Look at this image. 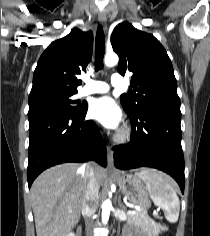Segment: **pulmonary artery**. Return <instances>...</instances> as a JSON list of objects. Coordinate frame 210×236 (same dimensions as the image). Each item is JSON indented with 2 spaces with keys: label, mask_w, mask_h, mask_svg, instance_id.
I'll return each mask as SVG.
<instances>
[{
  "label": "pulmonary artery",
  "mask_w": 210,
  "mask_h": 236,
  "mask_svg": "<svg viewBox=\"0 0 210 236\" xmlns=\"http://www.w3.org/2000/svg\"><path fill=\"white\" fill-rule=\"evenodd\" d=\"M123 78L115 74L111 77V85L114 87H120L123 85ZM109 85L100 81H88V84L81 89L80 95L85 96L93 93H106L109 90Z\"/></svg>",
  "instance_id": "1"
}]
</instances>
